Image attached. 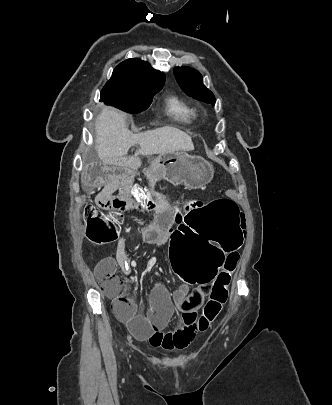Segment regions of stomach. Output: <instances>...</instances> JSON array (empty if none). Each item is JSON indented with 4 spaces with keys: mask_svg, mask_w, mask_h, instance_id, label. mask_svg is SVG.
<instances>
[{
    "mask_svg": "<svg viewBox=\"0 0 332 405\" xmlns=\"http://www.w3.org/2000/svg\"><path fill=\"white\" fill-rule=\"evenodd\" d=\"M156 159L161 175L173 185L200 189L211 182L214 176L212 164L185 151L160 154Z\"/></svg>",
    "mask_w": 332,
    "mask_h": 405,
    "instance_id": "stomach-1",
    "label": "stomach"
}]
</instances>
